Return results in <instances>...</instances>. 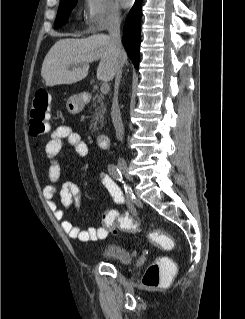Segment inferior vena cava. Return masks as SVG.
I'll return each mask as SVG.
<instances>
[{
    "label": "inferior vena cava",
    "mask_w": 245,
    "mask_h": 319,
    "mask_svg": "<svg viewBox=\"0 0 245 319\" xmlns=\"http://www.w3.org/2000/svg\"><path fill=\"white\" fill-rule=\"evenodd\" d=\"M121 19L119 13L112 14L109 25V37L111 39V46L117 59V67L115 73V93L111 110V117L114 128L116 130V137L119 141H123L124 138V125L121 118V113L118 105V87L122 74V57L124 51L122 49L121 35H120Z\"/></svg>",
    "instance_id": "obj_1"
}]
</instances>
